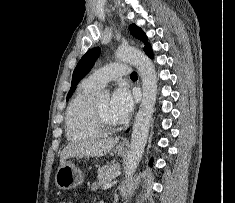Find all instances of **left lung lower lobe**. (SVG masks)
<instances>
[{
	"label": "left lung lower lobe",
	"instance_id": "obj_1",
	"mask_svg": "<svg viewBox=\"0 0 235 203\" xmlns=\"http://www.w3.org/2000/svg\"><path fill=\"white\" fill-rule=\"evenodd\" d=\"M145 53H146L149 57H151V58L153 57L151 47H150L149 49H147V50L145 51Z\"/></svg>",
	"mask_w": 235,
	"mask_h": 203
}]
</instances>
